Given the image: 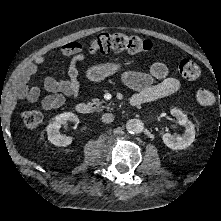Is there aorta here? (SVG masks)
<instances>
[{
  "label": "aorta",
  "mask_w": 221,
  "mask_h": 221,
  "mask_svg": "<svg viewBox=\"0 0 221 221\" xmlns=\"http://www.w3.org/2000/svg\"><path fill=\"white\" fill-rule=\"evenodd\" d=\"M126 129L131 134H139L144 129V123L140 119H129L126 123Z\"/></svg>",
  "instance_id": "762f6f07"
}]
</instances>
